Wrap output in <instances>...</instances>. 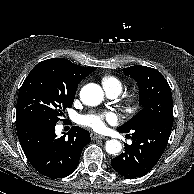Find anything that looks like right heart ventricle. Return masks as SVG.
<instances>
[{"label":"right heart ventricle","instance_id":"1","mask_svg":"<svg viewBox=\"0 0 194 194\" xmlns=\"http://www.w3.org/2000/svg\"><path fill=\"white\" fill-rule=\"evenodd\" d=\"M101 83L107 92V94H117L119 95L122 90L124 89V84L123 82L113 76V75H105L101 79Z\"/></svg>","mask_w":194,"mask_h":194}]
</instances>
